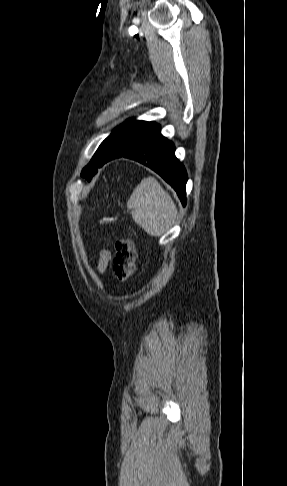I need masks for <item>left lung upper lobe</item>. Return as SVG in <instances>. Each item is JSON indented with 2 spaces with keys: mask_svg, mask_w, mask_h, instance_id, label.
I'll return each mask as SVG.
<instances>
[{
  "mask_svg": "<svg viewBox=\"0 0 287 486\" xmlns=\"http://www.w3.org/2000/svg\"><path fill=\"white\" fill-rule=\"evenodd\" d=\"M159 128L160 125L154 122L126 121L100 144L81 176L90 181L106 161L139 149Z\"/></svg>",
  "mask_w": 287,
  "mask_h": 486,
  "instance_id": "obj_1",
  "label": "left lung upper lobe"
}]
</instances>
